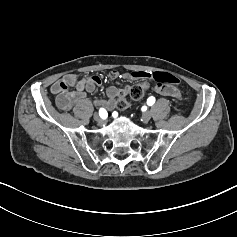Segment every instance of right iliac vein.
I'll list each match as a JSON object with an SVG mask.
<instances>
[{
	"label": "right iliac vein",
	"mask_w": 237,
	"mask_h": 237,
	"mask_svg": "<svg viewBox=\"0 0 237 237\" xmlns=\"http://www.w3.org/2000/svg\"><path fill=\"white\" fill-rule=\"evenodd\" d=\"M94 120L99 124H104L106 122L105 119H102L97 113L94 114Z\"/></svg>",
	"instance_id": "right-iliac-vein-1"
}]
</instances>
